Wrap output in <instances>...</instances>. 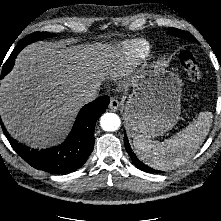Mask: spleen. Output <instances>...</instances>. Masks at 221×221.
<instances>
[{
    "label": "spleen",
    "instance_id": "1",
    "mask_svg": "<svg viewBox=\"0 0 221 221\" xmlns=\"http://www.w3.org/2000/svg\"><path fill=\"white\" fill-rule=\"evenodd\" d=\"M213 115L199 113L185 129L164 142L135 137L133 145L139 158L149 167L167 171L183 165L202 145L209 133Z\"/></svg>",
    "mask_w": 221,
    "mask_h": 221
}]
</instances>
